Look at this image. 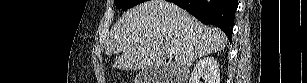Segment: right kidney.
<instances>
[{
  "mask_svg": "<svg viewBox=\"0 0 307 83\" xmlns=\"http://www.w3.org/2000/svg\"><path fill=\"white\" fill-rule=\"evenodd\" d=\"M220 83L218 63L211 56L200 59L191 73L189 83Z\"/></svg>",
  "mask_w": 307,
  "mask_h": 83,
  "instance_id": "ca27d5eb",
  "label": "right kidney"
}]
</instances>
